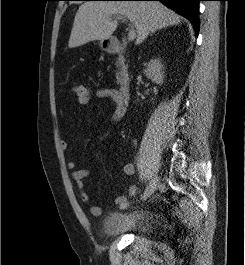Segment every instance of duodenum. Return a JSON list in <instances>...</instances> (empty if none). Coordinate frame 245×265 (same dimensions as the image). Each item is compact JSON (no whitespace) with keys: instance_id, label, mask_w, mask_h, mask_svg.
Returning <instances> with one entry per match:
<instances>
[{"instance_id":"1","label":"duodenum","mask_w":245,"mask_h":265,"mask_svg":"<svg viewBox=\"0 0 245 265\" xmlns=\"http://www.w3.org/2000/svg\"><path fill=\"white\" fill-rule=\"evenodd\" d=\"M108 52L111 54H117L120 57L123 54L124 48L120 41L118 40H112L107 44ZM119 92L121 94L122 99L125 102L129 101L130 93H131V87L129 79L126 76H123L120 83H119Z\"/></svg>"}]
</instances>
